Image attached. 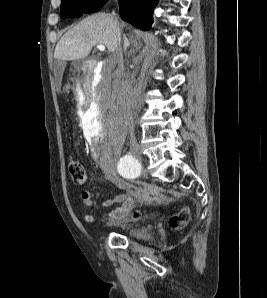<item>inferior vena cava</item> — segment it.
<instances>
[{"label": "inferior vena cava", "instance_id": "inferior-vena-cava-1", "mask_svg": "<svg viewBox=\"0 0 267 298\" xmlns=\"http://www.w3.org/2000/svg\"><path fill=\"white\" fill-rule=\"evenodd\" d=\"M113 14L115 13L113 12ZM116 33H117L119 44L112 54L111 63L118 64L119 69L117 70V76L122 78L118 86V96H117L116 105L119 109L120 114L124 117L125 120L129 122V124H131L132 113H131V107H130V92H129V87L127 83L123 80L124 65H123V59H122V50L120 46V30L118 26H116Z\"/></svg>", "mask_w": 267, "mask_h": 298}]
</instances>
